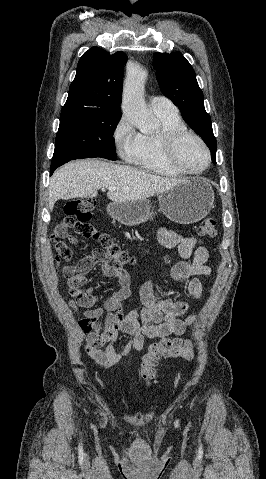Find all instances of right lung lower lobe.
<instances>
[{
    "label": "right lung lower lobe",
    "instance_id": "98d812e1",
    "mask_svg": "<svg viewBox=\"0 0 266 479\" xmlns=\"http://www.w3.org/2000/svg\"><path fill=\"white\" fill-rule=\"evenodd\" d=\"M70 160L71 159H69V158H63V157L52 158L50 175L53 174V172L55 171L56 168H58L59 166L63 165L64 163H66Z\"/></svg>",
    "mask_w": 266,
    "mask_h": 479
}]
</instances>
